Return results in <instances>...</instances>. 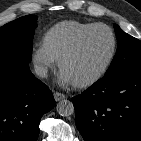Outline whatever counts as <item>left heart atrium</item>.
Instances as JSON below:
<instances>
[{
	"label": "left heart atrium",
	"mask_w": 141,
	"mask_h": 141,
	"mask_svg": "<svg viewBox=\"0 0 141 141\" xmlns=\"http://www.w3.org/2000/svg\"><path fill=\"white\" fill-rule=\"evenodd\" d=\"M59 81L62 84H70V83H72V81L70 80V78L63 71H61V73H60Z\"/></svg>",
	"instance_id": "left-heart-atrium-1"
}]
</instances>
